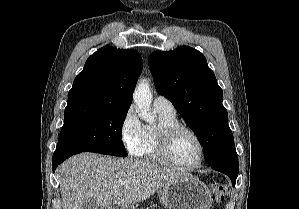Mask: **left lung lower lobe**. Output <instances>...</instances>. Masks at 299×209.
Returning a JSON list of instances; mask_svg holds the SVG:
<instances>
[{"mask_svg": "<svg viewBox=\"0 0 299 209\" xmlns=\"http://www.w3.org/2000/svg\"><path fill=\"white\" fill-rule=\"evenodd\" d=\"M209 166L229 176L232 185L235 186L239 172V162L234 144L228 146Z\"/></svg>", "mask_w": 299, "mask_h": 209, "instance_id": "1", "label": "left lung lower lobe"}]
</instances>
